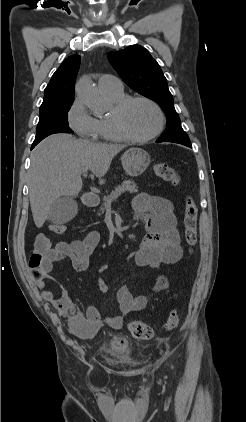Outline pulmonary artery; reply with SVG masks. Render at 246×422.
Wrapping results in <instances>:
<instances>
[{
	"label": "pulmonary artery",
	"mask_w": 246,
	"mask_h": 422,
	"mask_svg": "<svg viewBox=\"0 0 246 422\" xmlns=\"http://www.w3.org/2000/svg\"><path fill=\"white\" fill-rule=\"evenodd\" d=\"M98 87L103 93H119L123 91L121 81L109 74L102 75L98 80Z\"/></svg>",
	"instance_id": "pulmonary-artery-1"
}]
</instances>
